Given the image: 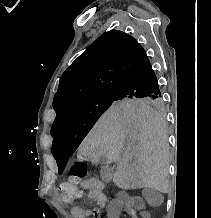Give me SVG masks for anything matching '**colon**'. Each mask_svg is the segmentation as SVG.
<instances>
[{"instance_id":"obj_1","label":"colon","mask_w":211,"mask_h":218,"mask_svg":"<svg viewBox=\"0 0 211 218\" xmlns=\"http://www.w3.org/2000/svg\"><path fill=\"white\" fill-rule=\"evenodd\" d=\"M87 167L84 162H77L70 171V177L64 181L60 187V199L67 204L73 203L77 200L82 191L79 187L81 180L85 177ZM97 218V213L95 214Z\"/></svg>"}]
</instances>
